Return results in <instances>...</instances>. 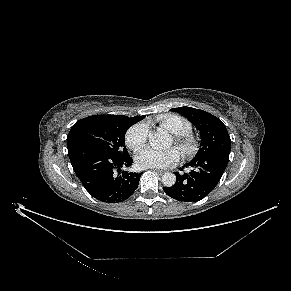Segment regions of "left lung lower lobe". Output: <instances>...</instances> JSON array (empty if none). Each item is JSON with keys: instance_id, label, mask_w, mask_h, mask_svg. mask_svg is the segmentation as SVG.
<instances>
[{"instance_id": "1", "label": "left lung lower lobe", "mask_w": 291, "mask_h": 291, "mask_svg": "<svg viewBox=\"0 0 291 291\" xmlns=\"http://www.w3.org/2000/svg\"><path fill=\"white\" fill-rule=\"evenodd\" d=\"M229 154L216 153L207 158L191 161L186 167L189 173L175 172L176 183L172 187H163L171 198L182 202H197L206 197L218 184L227 163Z\"/></svg>"}]
</instances>
